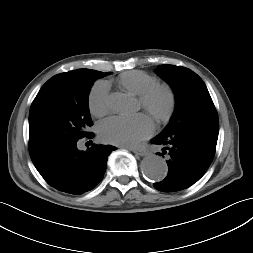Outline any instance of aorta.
<instances>
[{
    "label": "aorta",
    "mask_w": 253,
    "mask_h": 253,
    "mask_svg": "<svg viewBox=\"0 0 253 253\" xmlns=\"http://www.w3.org/2000/svg\"><path fill=\"white\" fill-rule=\"evenodd\" d=\"M108 104L113 111L124 113L132 108L133 101L126 94L115 92L110 95ZM141 170L148 180L160 182L167 176L168 167L161 157L152 154L143 159Z\"/></svg>",
    "instance_id": "aorta-1"
}]
</instances>
